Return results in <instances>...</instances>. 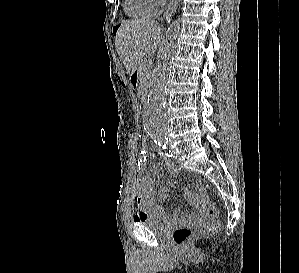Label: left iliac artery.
Masks as SVG:
<instances>
[{"label": "left iliac artery", "mask_w": 299, "mask_h": 273, "mask_svg": "<svg viewBox=\"0 0 299 273\" xmlns=\"http://www.w3.org/2000/svg\"><path fill=\"white\" fill-rule=\"evenodd\" d=\"M158 145L162 147L168 157H173V153L167 148V142H161Z\"/></svg>", "instance_id": "1"}]
</instances>
